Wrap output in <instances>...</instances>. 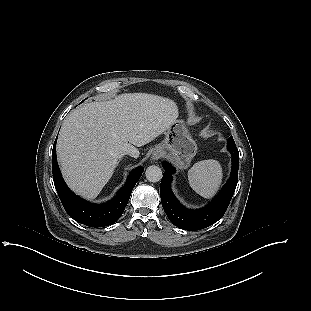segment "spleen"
Instances as JSON below:
<instances>
[{"label": "spleen", "mask_w": 311, "mask_h": 311, "mask_svg": "<svg viewBox=\"0 0 311 311\" xmlns=\"http://www.w3.org/2000/svg\"><path fill=\"white\" fill-rule=\"evenodd\" d=\"M222 176L221 165L213 159L199 161L188 171L191 188L204 198H211L216 193Z\"/></svg>", "instance_id": "1"}]
</instances>
